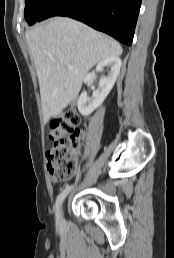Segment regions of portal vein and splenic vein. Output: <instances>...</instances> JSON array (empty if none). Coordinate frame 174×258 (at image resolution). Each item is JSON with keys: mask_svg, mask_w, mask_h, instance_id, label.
<instances>
[{"mask_svg": "<svg viewBox=\"0 0 174 258\" xmlns=\"http://www.w3.org/2000/svg\"><path fill=\"white\" fill-rule=\"evenodd\" d=\"M67 68H68L69 70H73V69H74V67H73L72 65H68Z\"/></svg>", "mask_w": 174, "mask_h": 258, "instance_id": "obj_1", "label": "portal vein and splenic vein"}]
</instances>
